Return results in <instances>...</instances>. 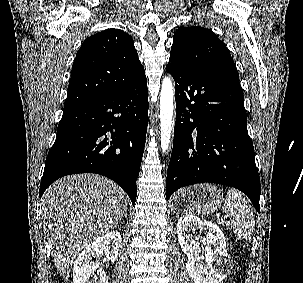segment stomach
Listing matches in <instances>:
<instances>
[{
    "label": "stomach",
    "instance_id": "0dacf381",
    "mask_svg": "<svg viewBox=\"0 0 303 283\" xmlns=\"http://www.w3.org/2000/svg\"><path fill=\"white\" fill-rule=\"evenodd\" d=\"M224 200L220 189L212 184H198L179 190L172 198L176 214L207 215L215 212Z\"/></svg>",
    "mask_w": 303,
    "mask_h": 283
}]
</instances>
